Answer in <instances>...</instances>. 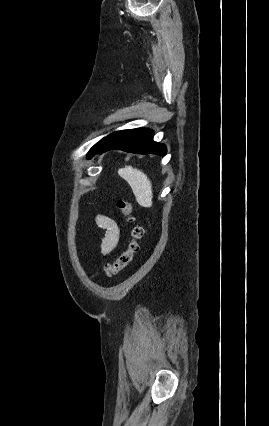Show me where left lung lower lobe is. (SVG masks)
I'll list each match as a JSON object with an SVG mask.
<instances>
[{
  "mask_svg": "<svg viewBox=\"0 0 269 426\" xmlns=\"http://www.w3.org/2000/svg\"><path fill=\"white\" fill-rule=\"evenodd\" d=\"M123 150L137 154H159L165 156L166 147L153 141V133L149 129L139 128L122 130L109 134L92 150L88 158L108 150Z\"/></svg>",
  "mask_w": 269,
  "mask_h": 426,
  "instance_id": "obj_1",
  "label": "left lung lower lobe"
}]
</instances>
